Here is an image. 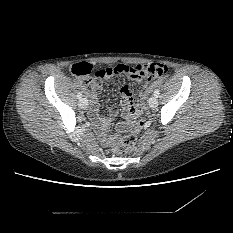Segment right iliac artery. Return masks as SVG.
<instances>
[{"label":"right iliac artery","instance_id":"82829eb1","mask_svg":"<svg viewBox=\"0 0 233 233\" xmlns=\"http://www.w3.org/2000/svg\"><path fill=\"white\" fill-rule=\"evenodd\" d=\"M77 98L81 99L82 98V94L80 92L77 93Z\"/></svg>","mask_w":233,"mask_h":233}]
</instances>
